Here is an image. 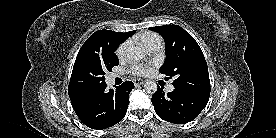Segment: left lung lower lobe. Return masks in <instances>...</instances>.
Instances as JSON below:
<instances>
[{
    "mask_svg": "<svg viewBox=\"0 0 276 138\" xmlns=\"http://www.w3.org/2000/svg\"><path fill=\"white\" fill-rule=\"evenodd\" d=\"M208 100L207 95H197L179 89L165 94L163 88L158 87L151 101L160 118L175 124H185L200 114Z\"/></svg>",
    "mask_w": 276,
    "mask_h": 138,
    "instance_id": "0a47b994",
    "label": "left lung lower lobe"
}]
</instances>
